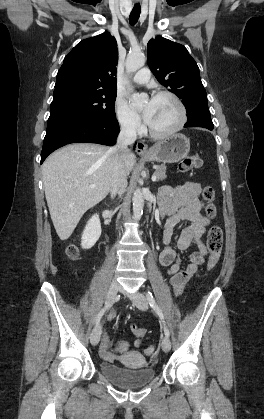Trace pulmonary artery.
<instances>
[{
  "label": "pulmonary artery",
  "mask_w": 264,
  "mask_h": 419,
  "mask_svg": "<svg viewBox=\"0 0 264 419\" xmlns=\"http://www.w3.org/2000/svg\"><path fill=\"white\" fill-rule=\"evenodd\" d=\"M150 79V70L148 68L140 69L134 76L133 81L137 84H145Z\"/></svg>",
  "instance_id": "pulmonary-artery-1"
}]
</instances>
